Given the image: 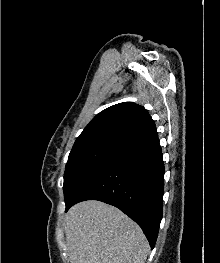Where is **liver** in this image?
Listing matches in <instances>:
<instances>
[{
	"label": "liver",
	"mask_w": 220,
	"mask_h": 263,
	"mask_svg": "<svg viewBox=\"0 0 220 263\" xmlns=\"http://www.w3.org/2000/svg\"><path fill=\"white\" fill-rule=\"evenodd\" d=\"M71 263H145L148 241L141 228L114 206L89 200L65 216Z\"/></svg>",
	"instance_id": "6515ba94"
}]
</instances>
